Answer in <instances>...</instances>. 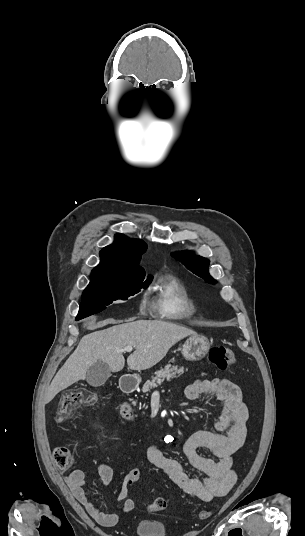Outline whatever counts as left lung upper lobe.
Segmentation results:
<instances>
[{
  "label": "left lung upper lobe",
  "instance_id": "left-lung-upper-lobe-1",
  "mask_svg": "<svg viewBox=\"0 0 305 536\" xmlns=\"http://www.w3.org/2000/svg\"><path fill=\"white\" fill-rule=\"evenodd\" d=\"M181 261L190 271L205 279L206 282L213 283L215 280L209 275V260L200 256H195L188 252H175L172 255Z\"/></svg>",
  "mask_w": 305,
  "mask_h": 536
}]
</instances>
